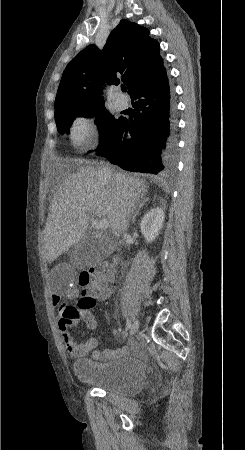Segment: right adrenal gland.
<instances>
[{"label": "right adrenal gland", "instance_id": "1", "mask_svg": "<svg viewBox=\"0 0 245 450\" xmlns=\"http://www.w3.org/2000/svg\"><path fill=\"white\" fill-rule=\"evenodd\" d=\"M149 200L148 197L144 198L143 200H139L138 204H137V208L135 209V212L133 213L132 216V221H135L136 216L139 214L141 208L145 205V203Z\"/></svg>", "mask_w": 245, "mask_h": 450}]
</instances>
